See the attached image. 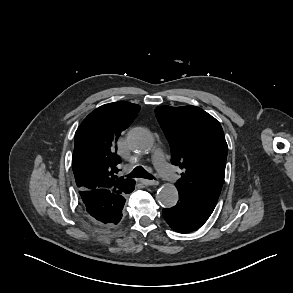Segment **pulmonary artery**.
I'll use <instances>...</instances> for the list:
<instances>
[{"mask_svg":"<svg viewBox=\"0 0 293 293\" xmlns=\"http://www.w3.org/2000/svg\"><path fill=\"white\" fill-rule=\"evenodd\" d=\"M153 160L156 166L158 173L163 179L172 182L176 179V173L172 166L166 161L165 155L162 150L158 149L154 156Z\"/></svg>","mask_w":293,"mask_h":293,"instance_id":"pulmonary-artery-1","label":"pulmonary artery"}]
</instances>
